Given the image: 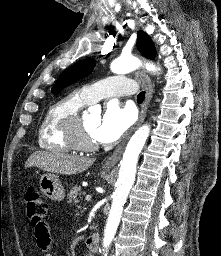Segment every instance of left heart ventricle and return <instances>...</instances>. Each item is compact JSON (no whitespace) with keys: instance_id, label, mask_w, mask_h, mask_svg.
I'll use <instances>...</instances> for the list:
<instances>
[{"instance_id":"1","label":"left heart ventricle","mask_w":221,"mask_h":256,"mask_svg":"<svg viewBox=\"0 0 221 256\" xmlns=\"http://www.w3.org/2000/svg\"><path fill=\"white\" fill-rule=\"evenodd\" d=\"M99 122V118L95 116H85L82 117L84 133L92 141H95L93 138V131L96 128Z\"/></svg>"}]
</instances>
